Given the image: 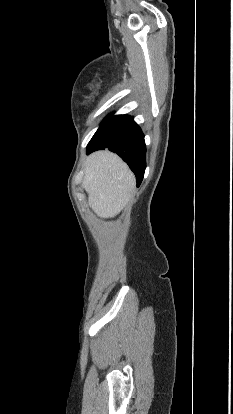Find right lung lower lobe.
Instances as JSON below:
<instances>
[{
    "label": "right lung lower lobe",
    "instance_id": "1",
    "mask_svg": "<svg viewBox=\"0 0 233 414\" xmlns=\"http://www.w3.org/2000/svg\"><path fill=\"white\" fill-rule=\"evenodd\" d=\"M105 148L116 152L129 165L139 186L146 168V145L144 135L132 117L109 115L103 120L87 146V154Z\"/></svg>",
    "mask_w": 233,
    "mask_h": 414
}]
</instances>
